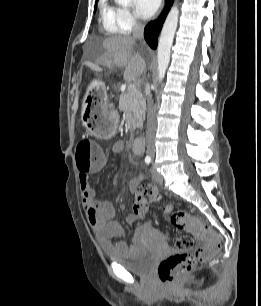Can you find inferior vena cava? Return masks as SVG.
I'll return each instance as SVG.
<instances>
[{
	"mask_svg": "<svg viewBox=\"0 0 261 306\" xmlns=\"http://www.w3.org/2000/svg\"><path fill=\"white\" fill-rule=\"evenodd\" d=\"M144 25L137 22L133 28V38L141 40L143 38ZM148 110H147V131L146 143L147 153L151 156L155 154L154 136L156 130V106L154 105L151 96L148 97Z\"/></svg>",
	"mask_w": 261,
	"mask_h": 306,
	"instance_id": "obj_1",
	"label": "inferior vena cava"
}]
</instances>
